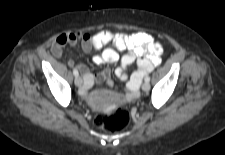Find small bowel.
Returning <instances> with one entry per match:
<instances>
[{"instance_id": "c3829d8e", "label": "small bowel", "mask_w": 225, "mask_h": 155, "mask_svg": "<svg viewBox=\"0 0 225 155\" xmlns=\"http://www.w3.org/2000/svg\"><path fill=\"white\" fill-rule=\"evenodd\" d=\"M82 42L84 50L94 48L102 49L112 42L116 49L125 50V54L120 58L118 52L113 48H106L92 57L94 64L115 63L120 60L121 65L116 71V75L121 80L127 81V91L120 95L122 101H130L138 96L140 83L144 74L150 72L161 61L162 46L154 38L144 32L138 33H115L110 30H103L97 34L90 35L83 32L67 33L59 36L51 47L53 55L61 57L62 48L66 45H75ZM137 62L138 70L128 78L126 70L134 62ZM70 65H74L72 61ZM76 67L83 75L82 95L87 96L89 90L97 80L106 81L110 84V71L103 70L100 74H92L84 64H77ZM112 96H105L100 103H109ZM97 101V100H96ZM99 101V100H98ZM99 103V102H98Z\"/></svg>"}]
</instances>
